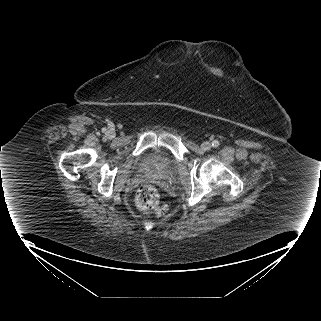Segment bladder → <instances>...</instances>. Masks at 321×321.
I'll list each match as a JSON object with an SVG mask.
<instances>
[{"label": "bladder", "instance_id": "31cf9c89", "mask_svg": "<svg viewBox=\"0 0 321 321\" xmlns=\"http://www.w3.org/2000/svg\"><path fill=\"white\" fill-rule=\"evenodd\" d=\"M142 171L153 177H167L173 169L172 160L166 157H160L156 154L147 155L141 163Z\"/></svg>", "mask_w": 321, "mask_h": 321}]
</instances>
